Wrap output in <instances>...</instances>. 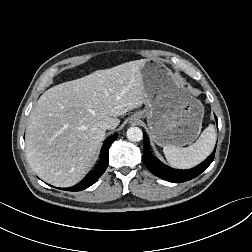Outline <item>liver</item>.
Segmentation results:
<instances>
[{
  "mask_svg": "<svg viewBox=\"0 0 252 252\" xmlns=\"http://www.w3.org/2000/svg\"><path fill=\"white\" fill-rule=\"evenodd\" d=\"M130 61L46 90L33 107L26 130V157L33 171L57 187L78 183L105 136L102 123L145 103L141 68ZM113 128V129H114Z\"/></svg>",
  "mask_w": 252,
  "mask_h": 252,
  "instance_id": "obj_1",
  "label": "liver"
}]
</instances>
